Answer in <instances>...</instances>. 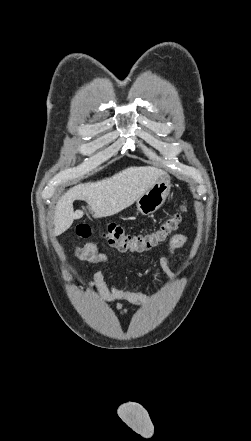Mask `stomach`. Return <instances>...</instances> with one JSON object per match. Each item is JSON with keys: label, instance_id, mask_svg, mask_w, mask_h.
<instances>
[{"label": "stomach", "instance_id": "stomach-1", "mask_svg": "<svg viewBox=\"0 0 251 441\" xmlns=\"http://www.w3.org/2000/svg\"><path fill=\"white\" fill-rule=\"evenodd\" d=\"M171 189V179L167 174L162 175L154 185L136 200V209L142 215H150L158 210Z\"/></svg>", "mask_w": 251, "mask_h": 441}]
</instances>
